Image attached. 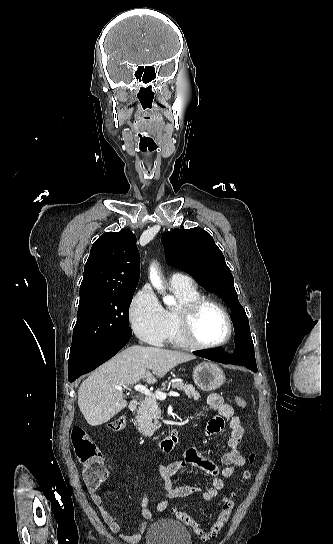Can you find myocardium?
Wrapping results in <instances>:
<instances>
[{"label":"myocardium","instance_id":"1","mask_svg":"<svg viewBox=\"0 0 333 544\" xmlns=\"http://www.w3.org/2000/svg\"><path fill=\"white\" fill-rule=\"evenodd\" d=\"M207 305H214L223 313L227 323V335L219 342L206 344L198 340L195 325L201 310ZM181 337L191 347L197 349H214L226 345L233 335V321L226 306L212 297H199L182 304L176 312Z\"/></svg>","mask_w":333,"mask_h":544}]
</instances>
